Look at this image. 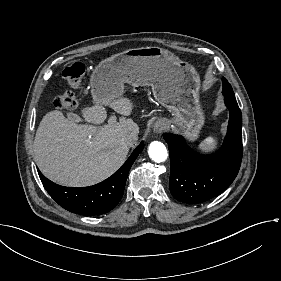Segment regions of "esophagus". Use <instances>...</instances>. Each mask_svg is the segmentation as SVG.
Listing matches in <instances>:
<instances>
[{
	"label": "esophagus",
	"mask_w": 281,
	"mask_h": 281,
	"mask_svg": "<svg viewBox=\"0 0 281 281\" xmlns=\"http://www.w3.org/2000/svg\"><path fill=\"white\" fill-rule=\"evenodd\" d=\"M162 128H163V127H161V126L155 124V125H154V132H155L156 134H159V133L162 131Z\"/></svg>",
	"instance_id": "esophagus-1"
}]
</instances>
